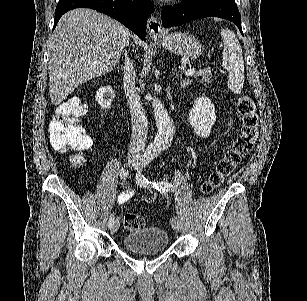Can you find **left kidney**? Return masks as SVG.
<instances>
[{
  "label": "left kidney",
  "instance_id": "1",
  "mask_svg": "<svg viewBox=\"0 0 307 301\" xmlns=\"http://www.w3.org/2000/svg\"><path fill=\"white\" fill-rule=\"evenodd\" d=\"M216 120L215 106L208 96H199L189 112V122L196 134L207 138Z\"/></svg>",
  "mask_w": 307,
  "mask_h": 301
}]
</instances>
